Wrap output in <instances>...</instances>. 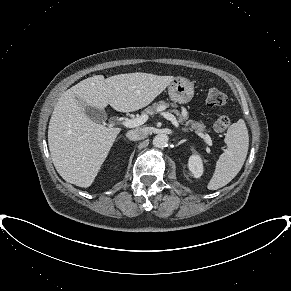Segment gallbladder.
<instances>
[{
	"mask_svg": "<svg viewBox=\"0 0 291 291\" xmlns=\"http://www.w3.org/2000/svg\"><path fill=\"white\" fill-rule=\"evenodd\" d=\"M80 104L83 106L85 114L88 118L95 122H103L107 119V115L104 110L96 109L91 106H87L84 102L80 101Z\"/></svg>",
	"mask_w": 291,
	"mask_h": 291,
	"instance_id": "bac80fb5",
	"label": "gallbladder"
}]
</instances>
